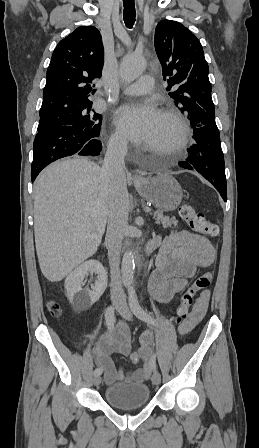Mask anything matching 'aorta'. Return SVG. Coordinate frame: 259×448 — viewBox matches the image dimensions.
Returning <instances> with one entry per match:
<instances>
[{
    "mask_svg": "<svg viewBox=\"0 0 259 448\" xmlns=\"http://www.w3.org/2000/svg\"><path fill=\"white\" fill-rule=\"evenodd\" d=\"M145 67L146 62L143 57L135 54H128L121 62L120 76L125 82H132L142 75ZM134 269V255L133 252L128 249L122 258L121 274L122 282L129 291L133 290Z\"/></svg>",
    "mask_w": 259,
    "mask_h": 448,
    "instance_id": "762f6f07",
    "label": "aorta"
}]
</instances>
